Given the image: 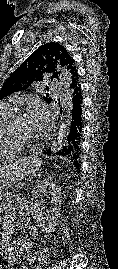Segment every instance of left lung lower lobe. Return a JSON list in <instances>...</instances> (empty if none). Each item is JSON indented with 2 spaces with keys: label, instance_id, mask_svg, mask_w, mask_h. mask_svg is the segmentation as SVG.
I'll return each mask as SVG.
<instances>
[{
  "label": "left lung lower lobe",
  "instance_id": "left-lung-lower-lobe-1",
  "mask_svg": "<svg viewBox=\"0 0 118 269\" xmlns=\"http://www.w3.org/2000/svg\"><path fill=\"white\" fill-rule=\"evenodd\" d=\"M82 93L80 84L70 91L69 117L65 137L62 145L55 152L57 155L69 158L74 166L79 169L81 155V132H82ZM62 112V111H61ZM51 147L44 154H51Z\"/></svg>",
  "mask_w": 118,
  "mask_h": 269
}]
</instances>
